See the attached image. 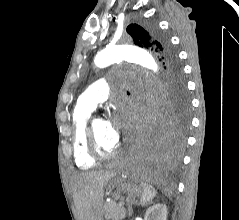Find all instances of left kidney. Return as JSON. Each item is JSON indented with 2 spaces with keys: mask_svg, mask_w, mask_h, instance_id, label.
Wrapping results in <instances>:
<instances>
[{
  "mask_svg": "<svg viewBox=\"0 0 239 220\" xmlns=\"http://www.w3.org/2000/svg\"><path fill=\"white\" fill-rule=\"evenodd\" d=\"M167 210L165 204H154L147 209L144 220H167Z\"/></svg>",
  "mask_w": 239,
  "mask_h": 220,
  "instance_id": "5707ae66",
  "label": "left kidney"
}]
</instances>
